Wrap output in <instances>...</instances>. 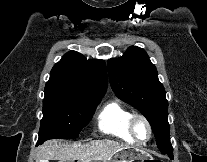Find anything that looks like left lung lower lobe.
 Here are the masks:
<instances>
[{
    "mask_svg": "<svg viewBox=\"0 0 207 162\" xmlns=\"http://www.w3.org/2000/svg\"><path fill=\"white\" fill-rule=\"evenodd\" d=\"M166 154H168V156L170 157V159L173 160V151L172 152H166Z\"/></svg>",
    "mask_w": 207,
    "mask_h": 162,
    "instance_id": "left-lung-lower-lobe-1",
    "label": "left lung lower lobe"
}]
</instances>
